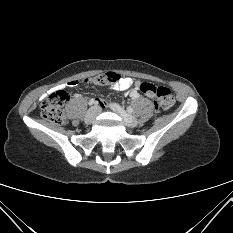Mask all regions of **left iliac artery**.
Here are the masks:
<instances>
[{"mask_svg":"<svg viewBox=\"0 0 233 233\" xmlns=\"http://www.w3.org/2000/svg\"><path fill=\"white\" fill-rule=\"evenodd\" d=\"M127 111L129 112V113H132L133 112V109H132V107H127Z\"/></svg>","mask_w":233,"mask_h":233,"instance_id":"44dca946","label":"left iliac artery"}]
</instances>
